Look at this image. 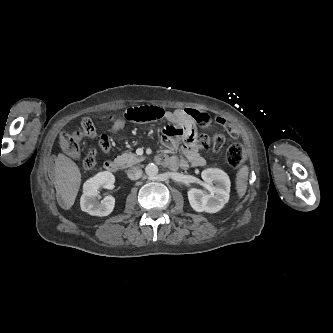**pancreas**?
<instances>
[{"instance_id": "pancreas-1", "label": "pancreas", "mask_w": 333, "mask_h": 333, "mask_svg": "<svg viewBox=\"0 0 333 333\" xmlns=\"http://www.w3.org/2000/svg\"><path fill=\"white\" fill-rule=\"evenodd\" d=\"M118 159L120 160L121 164L125 168H127V167H131L137 163H140L141 161L144 160V157H140L134 153L127 152V153H124L121 156H119Z\"/></svg>"}]
</instances>
